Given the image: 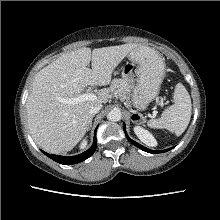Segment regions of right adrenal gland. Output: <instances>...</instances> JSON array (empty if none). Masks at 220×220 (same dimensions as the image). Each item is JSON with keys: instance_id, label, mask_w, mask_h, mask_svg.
<instances>
[{"instance_id": "1", "label": "right adrenal gland", "mask_w": 220, "mask_h": 220, "mask_svg": "<svg viewBox=\"0 0 220 220\" xmlns=\"http://www.w3.org/2000/svg\"><path fill=\"white\" fill-rule=\"evenodd\" d=\"M95 115H92L91 116V118H90V123H89V126H88V130L91 128V126H92V119H93V117H94Z\"/></svg>"}]
</instances>
